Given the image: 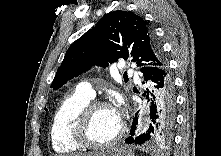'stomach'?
I'll return each instance as SVG.
<instances>
[{
    "label": "stomach",
    "instance_id": "1",
    "mask_svg": "<svg viewBox=\"0 0 221 156\" xmlns=\"http://www.w3.org/2000/svg\"><path fill=\"white\" fill-rule=\"evenodd\" d=\"M105 156H133V153L126 148H114L107 151Z\"/></svg>",
    "mask_w": 221,
    "mask_h": 156
}]
</instances>
